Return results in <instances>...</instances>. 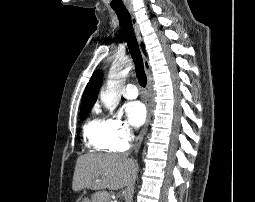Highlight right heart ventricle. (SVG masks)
<instances>
[{"label":"right heart ventricle","mask_w":255,"mask_h":202,"mask_svg":"<svg viewBox=\"0 0 255 202\" xmlns=\"http://www.w3.org/2000/svg\"><path fill=\"white\" fill-rule=\"evenodd\" d=\"M84 139L88 147L95 150L109 149L106 140V121L91 117L83 128Z\"/></svg>","instance_id":"right-heart-ventricle-1"}]
</instances>
